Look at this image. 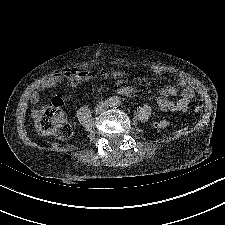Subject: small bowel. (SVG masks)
Instances as JSON below:
<instances>
[{
	"instance_id": "small-bowel-1",
	"label": "small bowel",
	"mask_w": 225,
	"mask_h": 225,
	"mask_svg": "<svg viewBox=\"0 0 225 225\" xmlns=\"http://www.w3.org/2000/svg\"><path fill=\"white\" fill-rule=\"evenodd\" d=\"M155 72L158 74L163 73L161 68H156ZM122 75L121 71H115L112 73V76L117 78ZM95 78V75L90 72H74L67 71L60 74H53L45 78L32 92L30 101L32 104H36L40 100L41 92L44 89L54 87L60 84L64 79H66L69 84L73 87H78L82 82L91 81ZM178 84L183 87V92L181 97L176 101H171L166 99V96H175L178 93V90L174 86H168L163 88L160 93L162 97L158 98L157 105L161 111H183L186 109L190 99L193 96L192 89L188 86L187 81L184 77H179L177 80ZM135 88L132 86H123L119 88L118 93L122 96H131L135 93ZM35 117L38 115V112L35 111Z\"/></svg>"
}]
</instances>
